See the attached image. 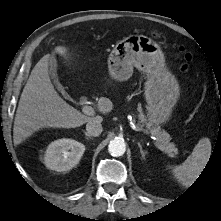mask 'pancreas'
Instances as JSON below:
<instances>
[{
  "label": "pancreas",
  "instance_id": "1",
  "mask_svg": "<svg viewBox=\"0 0 221 221\" xmlns=\"http://www.w3.org/2000/svg\"><path fill=\"white\" fill-rule=\"evenodd\" d=\"M139 111H140L139 118L141 119V121H144V115L141 113L140 108ZM140 129L146 133L150 132L152 135L156 136L159 145L162 147V151L166 153L168 156L175 157V155L178 153V149L176 148L175 144L170 142L171 140L170 134L164 130H161L160 127L152 128L150 131L144 130L142 126H140Z\"/></svg>",
  "mask_w": 221,
  "mask_h": 221
}]
</instances>
